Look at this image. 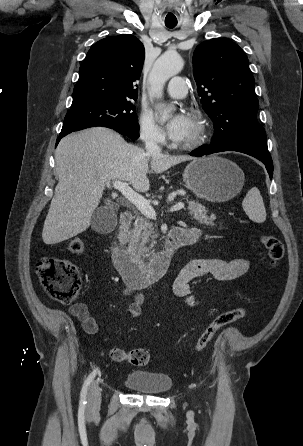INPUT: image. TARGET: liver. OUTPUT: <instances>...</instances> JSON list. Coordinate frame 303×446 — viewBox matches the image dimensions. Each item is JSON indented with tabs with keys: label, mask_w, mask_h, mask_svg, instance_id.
<instances>
[{
	"label": "liver",
	"mask_w": 303,
	"mask_h": 446,
	"mask_svg": "<svg viewBox=\"0 0 303 446\" xmlns=\"http://www.w3.org/2000/svg\"><path fill=\"white\" fill-rule=\"evenodd\" d=\"M192 159L149 155L105 127L67 135L55 151L59 181L44 222V243L57 244L85 231L111 181H127L135 190L146 192L150 188L149 167L159 174Z\"/></svg>",
	"instance_id": "1"
}]
</instances>
